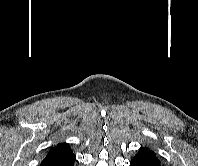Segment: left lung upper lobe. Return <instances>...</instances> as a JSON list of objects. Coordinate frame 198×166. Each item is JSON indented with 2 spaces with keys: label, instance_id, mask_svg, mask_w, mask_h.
<instances>
[{
  "label": "left lung upper lobe",
  "instance_id": "left-lung-upper-lobe-1",
  "mask_svg": "<svg viewBox=\"0 0 198 166\" xmlns=\"http://www.w3.org/2000/svg\"><path fill=\"white\" fill-rule=\"evenodd\" d=\"M137 154H141L143 156H146V157H149V158H152V159H155V160H158L159 161V159L156 156V154L152 150H150L149 148H147V147H141L139 149V152Z\"/></svg>",
  "mask_w": 198,
  "mask_h": 166
}]
</instances>
